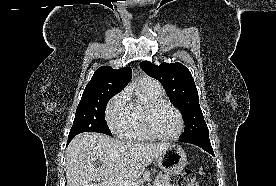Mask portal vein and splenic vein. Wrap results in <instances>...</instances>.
Returning a JSON list of instances; mask_svg holds the SVG:
<instances>
[{
  "label": "portal vein and splenic vein",
  "instance_id": "portal-vein-and-splenic-vein-1",
  "mask_svg": "<svg viewBox=\"0 0 276 186\" xmlns=\"http://www.w3.org/2000/svg\"><path fill=\"white\" fill-rule=\"evenodd\" d=\"M103 186H139L137 183L129 182V183H122L119 181H110L108 184Z\"/></svg>",
  "mask_w": 276,
  "mask_h": 186
}]
</instances>
